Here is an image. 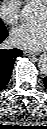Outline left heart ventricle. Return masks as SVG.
Masks as SVG:
<instances>
[{"label":"left heart ventricle","instance_id":"left-heart-ventricle-1","mask_svg":"<svg viewBox=\"0 0 47 129\" xmlns=\"http://www.w3.org/2000/svg\"><path fill=\"white\" fill-rule=\"evenodd\" d=\"M46 18V12H45V9L43 8L42 9V14H41V19H45Z\"/></svg>","mask_w":47,"mask_h":129}]
</instances>
